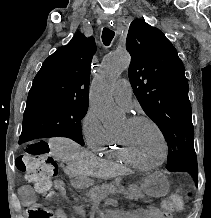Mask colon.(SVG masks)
I'll use <instances>...</instances> for the list:
<instances>
[{"label":"colon","mask_w":211,"mask_h":218,"mask_svg":"<svg viewBox=\"0 0 211 218\" xmlns=\"http://www.w3.org/2000/svg\"><path fill=\"white\" fill-rule=\"evenodd\" d=\"M16 167L25 174L27 181L38 193L51 195L58 168L47 143L31 140L25 151L17 157ZM182 205V195L171 196L164 203V207L172 211L180 209ZM28 218H54V214L50 209L34 204L28 209Z\"/></svg>","instance_id":"colon-1"}]
</instances>
